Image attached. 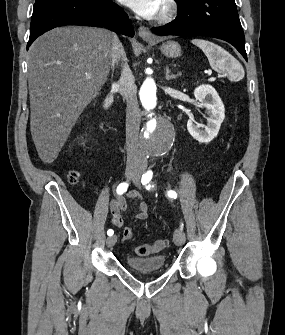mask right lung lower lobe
<instances>
[{"mask_svg":"<svg viewBox=\"0 0 285 335\" xmlns=\"http://www.w3.org/2000/svg\"><path fill=\"white\" fill-rule=\"evenodd\" d=\"M107 27L134 36L130 19L112 0H39L34 4L27 49L40 35L64 25Z\"/></svg>","mask_w":285,"mask_h":335,"instance_id":"obj_1","label":"right lung lower lobe"}]
</instances>
